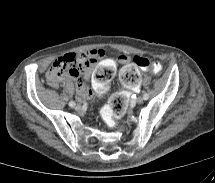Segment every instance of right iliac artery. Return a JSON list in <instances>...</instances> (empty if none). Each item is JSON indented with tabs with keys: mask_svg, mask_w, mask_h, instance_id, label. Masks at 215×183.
I'll return each instance as SVG.
<instances>
[{
	"mask_svg": "<svg viewBox=\"0 0 215 183\" xmlns=\"http://www.w3.org/2000/svg\"><path fill=\"white\" fill-rule=\"evenodd\" d=\"M69 106H70V107H74V106H75V102H74V101H70V102H69Z\"/></svg>",
	"mask_w": 215,
	"mask_h": 183,
	"instance_id": "obj_1",
	"label": "right iliac artery"
}]
</instances>
